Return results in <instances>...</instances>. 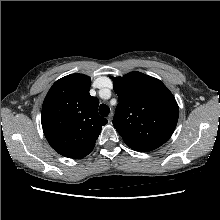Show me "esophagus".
<instances>
[{
    "label": "esophagus",
    "mask_w": 220,
    "mask_h": 220,
    "mask_svg": "<svg viewBox=\"0 0 220 220\" xmlns=\"http://www.w3.org/2000/svg\"><path fill=\"white\" fill-rule=\"evenodd\" d=\"M113 117V113H110L109 116L107 117L108 122L110 123Z\"/></svg>",
    "instance_id": "1"
}]
</instances>
